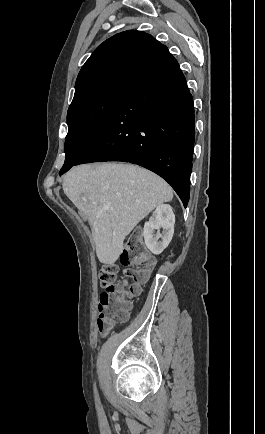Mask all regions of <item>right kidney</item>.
Here are the masks:
<instances>
[{"mask_svg": "<svg viewBox=\"0 0 265 434\" xmlns=\"http://www.w3.org/2000/svg\"><path fill=\"white\" fill-rule=\"evenodd\" d=\"M174 224L175 216L169 204L157 206L149 218V222H146L143 232L145 244L155 256L162 254L163 250L169 246L174 234ZM160 228L163 230L162 234L159 232L155 234V230H160ZM159 238H161V242H159Z\"/></svg>", "mask_w": 265, "mask_h": 434, "instance_id": "ca27d5eb", "label": "right kidney"}]
</instances>
